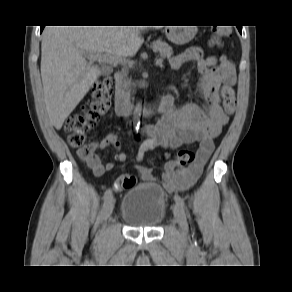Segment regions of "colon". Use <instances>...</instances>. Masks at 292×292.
Listing matches in <instances>:
<instances>
[{
    "label": "colon",
    "mask_w": 292,
    "mask_h": 292,
    "mask_svg": "<svg viewBox=\"0 0 292 292\" xmlns=\"http://www.w3.org/2000/svg\"><path fill=\"white\" fill-rule=\"evenodd\" d=\"M231 29L229 25H219L213 29V37L210 40L211 46H221L222 39L229 37ZM222 104L227 114H233L236 109V98L234 90L229 85L221 89ZM113 85L112 81L105 78L96 83L92 89V97L87 107L81 112L69 117L64 125L68 142L72 147L78 148L79 156L88 160L94 153V146L85 143L88 132L95 126L97 121L106 115L112 105ZM196 155L192 150H180L175 159L176 163L182 166L192 164ZM122 188L128 189L134 186L135 178L131 175H123L120 178Z\"/></svg>",
    "instance_id": "obj_1"
}]
</instances>
